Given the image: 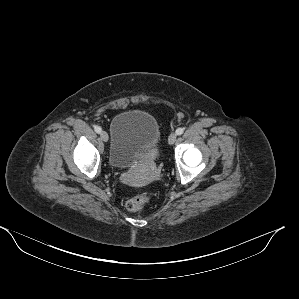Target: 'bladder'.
<instances>
[{
    "label": "bladder",
    "instance_id": "1",
    "mask_svg": "<svg viewBox=\"0 0 299 299\" xmlns=\"http://www.w3.org/2000/svg\"><path fill=\"white\" fill-rule=\"evenodd\" d=\"M161 153L159 123L150 113L128 110L113 119L109 154L113 168H130L149 154L160 157Z\"/></svg>",
    "mask_w": 299,
    "mask_h": 299
}]
</instances>
